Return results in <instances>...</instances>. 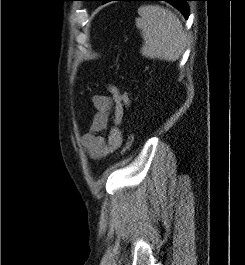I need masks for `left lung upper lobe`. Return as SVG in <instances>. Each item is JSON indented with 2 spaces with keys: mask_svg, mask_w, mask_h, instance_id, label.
Masks as SVG:
<instances>
[{
  "mask_svg": "<svg viewBox=\"0 0 245 265\" xmlns=\"http://www.w3.org/2000/svg\"><path fill=\"white\" fill-rule=\"evenodd\" d=\"M87 1H105V0H87Z\"/></svg>",
  "mask_w": 245,
  "mask_h": 265,
  "instance_id": "obj_1",
  "label": "left lung upper lobe"
}]
</instances>
